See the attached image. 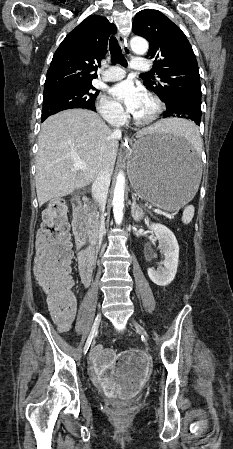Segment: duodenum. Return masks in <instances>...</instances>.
I'll use <instances>...</instances> for the list:
<instances>
[{
    "label": "duodenum",
    "mask_w": 233,
    "mask_h": 449,
    "mask_svg": "<svg viewBox=\"0 0 233 449\" xmlns=\"http://www.w3.org/2000/svg\"><path fill=\"white\" fill-rule=\"evenodd\" d=\"M86 216L82 208V199L75 198L73 201V226L76 236V243L80 248L78 254L79 272H92L96 264L98 250L95 247V240L92 238L87 225ZM89 240L91 245L84 247Z\"/></svg>",
    "instance_id": "duodenum-1"
}]
</instances>
